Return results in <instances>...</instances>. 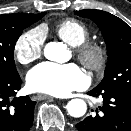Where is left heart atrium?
Returning a JSON list of instances; mask_svg holds the SVG:
<instances>
[{
	"mask_svg": "<svg viewBox=\"0 0 131 131\" xmlns=\"http://www.w3.org/2000/svg\"><path fill=\"white\" fill-rule=\"evenodd\" d=\"M87 84L86 75L75 64L45 62L31 69L27 75L30 90L55 96H66Z\"/></svg>",
	"mask_w": 131,
	"mask_h": 131,
	"instance_id": "1",
	"label": "left heart atrium"
}]
</instances>
